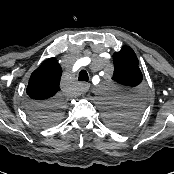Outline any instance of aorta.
<instances>
[{
  "mask_svg": "<svg viewBox=\"0 0 174 174\" xmlns=\"http://www.w3.org/2000/svg\"><path fill=\"white\" fill-rule=\"evenodd\" d=\"M99 95L100 98L104 101V102H109L112 98V93H113V89L110 86L107 85H101L99 86Z\"/></svg>",
  "mask_w": 174,
  "mask_h": 174,
  "instance_id": "aorta-1",
  "label": "aorta"
}]
</instances>
